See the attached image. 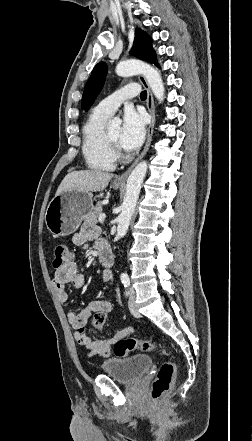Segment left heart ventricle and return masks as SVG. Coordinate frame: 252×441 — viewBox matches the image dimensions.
<instances>
[{"label":"left heart ventricle","instance_id":"1","mask_svg":"<svg viewBox=\"0 0 252 441\" xmlns=\"http://www.w3.org/2000/svg\"><path fill=\"white\" fill-rule=\"evenodd\" d=\"M109 138L115 143V144H119V139H120V135H121V128L120 127H116L113 128L111 130H109L107 132Z\"/></svg>","mask_w":252,"mask_h":441}]
</instances>
